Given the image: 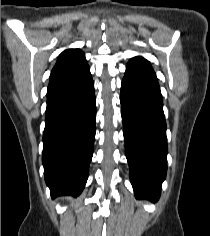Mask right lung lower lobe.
<instances>
[{
	"mask_svg": "<svg viewBox=\"0 0 210 236\" xmlns=\"http://www.w3.org/2000/svg\"><path fill=\"white\" fill-rule=\"evenodd\" d=\"M95 119L94 83L87 62L50 78L42 163L52 197L77 196L85 187Z\"/></svg>",
	"mask_w": 210,
	"mask_h": 236,
	"instance_id": "98d812e1",
	"label": "right lung lower lobe"
}]
</instances>
